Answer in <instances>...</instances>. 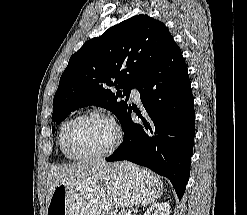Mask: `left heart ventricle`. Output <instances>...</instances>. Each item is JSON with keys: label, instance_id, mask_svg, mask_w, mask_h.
<instances>
[{"label": "left heart ventricle", "instance_id": "1", "mask_svg": "<svg viewBox=\"0 0 247 215\" xmlns=\"http://www.w3.org/2000/svg\"><path fill=\"white\" fill-rule=\"evenodd\" d=\"M114 140L111 125L101 119L81 121L74 133L75 149L80 154H97L109 148Z\"/></svg>", "mask_w": 247, "mask_h": 215}]
</instances>
